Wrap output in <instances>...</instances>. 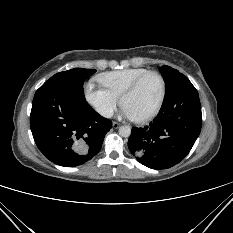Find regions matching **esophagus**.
Instances as JSON below:
<instances>
[{
	"label": "esophagus",
	"instance_id": "34e87169",
	"mask_svg": "<svg viewBox=\"0 0 233 233\" xmlns=\"http://www.w3.org/2000/svg\"><path fill=\"white\" fill-rule=\"evenodd\" d=\"M112 126H113V128L117 129V128H119L120 124L117 122H113Z\"/></svg>",
	"mask_w": 233,
	"mask_h": 233
}]
</instances>
